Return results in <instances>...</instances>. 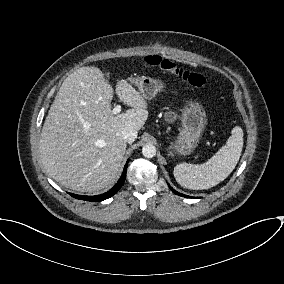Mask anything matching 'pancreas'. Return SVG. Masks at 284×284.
Listing matches in <instances>:
<instances>
[{
	"instance_id": "pancreas-1",
	"label": "pancreas",
	"mask_w": 284,
	"mask_h": 284,
	"mask_svg": "<svg viewBox=\"0 0 284 284\" xmlns=\"http://www.w3.org/2000/svg\"><path fill=\"white\" fill-rule=\"evenodd\" d=\"M167 117L175 118L176 115H175V113H173V112H169V113L167 114Z\"/></svg>"
}]
</instances>
